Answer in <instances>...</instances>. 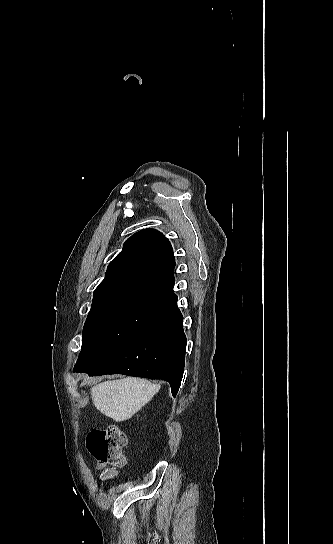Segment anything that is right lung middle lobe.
I'll use <instances>...</instances> for the list:
<instances>
[{
	"label": "right lung middle lobe",
	"instance_id": "right-lung-middle-lobe-1",
	"mask_svg": "<svg viewBox=\"0 0 333 544\" xmlns=\"http://www.w3.org/2000/svg\"><path fill=\"white\" fill-rule=\"evenodd\" d=\"M171 303L149 298H122L93 303L83 328L75 367L108 356L148 327Z\"/></svg>",
	"mask_w": 333,
	"mask_h": 544
}]
</instances>
